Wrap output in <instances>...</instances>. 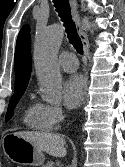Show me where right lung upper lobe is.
I'll list each match as a JSON object with an SVG mask.
<instances>
[{
	"instance_id": "cb5924a9",
	"label": "right lung upper lobe",
	"mask_w": 125,
	"mask_h": 167,
	"mask_svg": "<svg viewBox=\"0 0 125 167\" xmlns=\"http://www.w3.org/2000/svg\"><path fill=\"white\" fill-rule=\"evenodd\" d=\"M30 28L25 25L18 34L14 56L15 90L26 89L31 75Z\"/></svg>"
}]
</instances>
